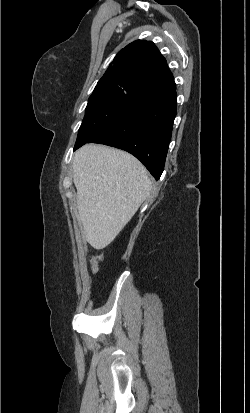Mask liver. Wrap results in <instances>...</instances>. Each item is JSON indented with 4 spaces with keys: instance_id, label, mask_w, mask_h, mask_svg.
<instances>
[{
    "instance_id": "1",
    "label": "liver",
    "mask_w": 250,
    "mask_h": 413,
    "mask_svg": "<svg viewBox=\"0 0 250 413\" xmlns=\"http://www.w3.org/2000/svg\"><path fill=\"white\" fill-rule=\"evenodd\" d=\"M73 182L85 238L97 250L116 238L152 189L146 168L134 156L97 144L75 152Z\"/></svg>"
}]
</instances>
